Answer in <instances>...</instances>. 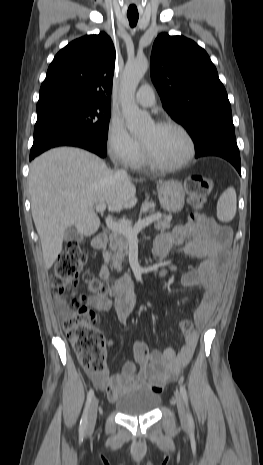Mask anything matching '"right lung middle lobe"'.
<instances>
[{
    "instance_id": "obj_1",
    "label": "right lung middle lobe",
    "mask_w": 263,
    "mask_h": 465,
    "mask_svg": "<svg viewBox=\"0 0 263 465\" xmlns=\"http://www.w3.org/2000/svg\"><path fill=\"white\" fill-rule=\"evenodd\" d=\"M110 105L96 100L57 97L37 103L34 141L54 133L72 132L106 149Z\"/></svg>"
}]
</instances>
